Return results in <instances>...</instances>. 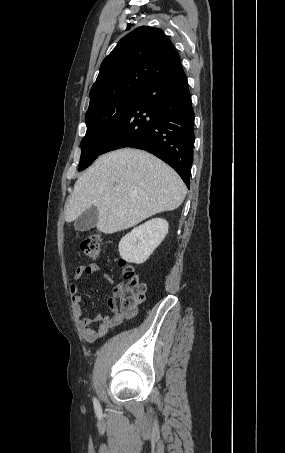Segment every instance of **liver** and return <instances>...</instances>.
<instances>
[{
    "label": "liver",
    "mask_w": 285,
    "mask_h": 453,
    "mask_svg": "<svg viewBox=\"0 0 285 453\" xmlns=\"http://www.w3.org/2000/svg\"><path fill=\"white\" fill-rule=\"evenodd\" d=\"M185 195V184L167 164L142 150L119 149L100 156L78 178L65 220L70 223L95 206L97 229L112 234L177 209Z\"/></svg>",
    "instance_id": "1"
}]
</instances>
